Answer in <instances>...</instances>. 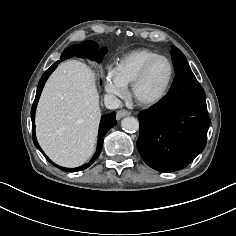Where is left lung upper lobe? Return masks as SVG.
Listing matches in <instances>:
<instances>
[{"instance_id":"obj_1","label":"left lung upper lobe","mask_w":236,"mask_h":236,"mask_svg":"<svg viewBox=\"0 0 236 236\" xmlns=\"http://www.w3.org/2000/svg\"><path fill=\"white\" fill-rule=\"evenodd\" d=\"M171 56L175 65L176 72L186 68H190L184 54L178 48L172 46Z\"/></svg>"}]
</instances>
